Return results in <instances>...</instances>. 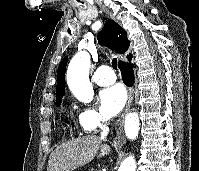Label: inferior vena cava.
I'll return each mask as SVG.
<instances>
[{"instance_id": "obj_1", "label": "inferior vena cava", "mask_w": 199, "mask_h": 171, "mask_svg": "<svg viewBox=\"0 0 199 171\" xmlns=\"http://www.w3.org/2000/svg\"><path fill=\"white\" fill-rule=\"evenodd\" d=\"M107 120L102 119V124L100 125L101 128V138L104 139L109 133V127L107 126Z\"/></svg>"}]
</instances>
